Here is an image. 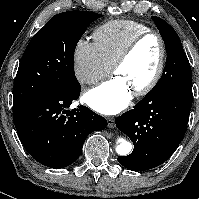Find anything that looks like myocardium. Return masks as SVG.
Here are the masks:
<instances>
[{
    "instance_id": "1",
    "label": "myocardium",
    "mask_w": 199,
    "mask_h": 199,
    "mask_svg": "<svg viewBox=\"0 0 199 199\" xmlns=\"http://www.w3.org/2000/svg\"><path fill=\"white\" fill-rule=\"evenodd\" d=\"M148 37H155L159 42V46H160L159 62L153 76L148 81V83H146L141 88L133 91V95L135 96H145L149 94L157 86V84L159 83L163 75L165 64H166L167 48H166V44L162 35L155 30H148L146 32L139 34L128 43V45L119 54V56L116 58V60L114 61L112 65V72L115 74L116 71L130 58V56L135 51L137 46L144 39Z\"/></svg>"
}]
</instances>
